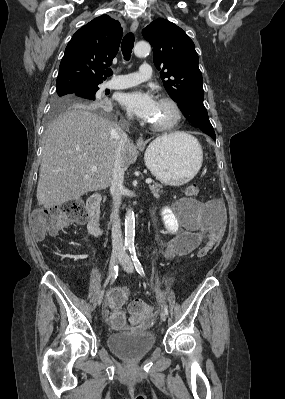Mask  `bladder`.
Wrapping results in <instances>:
<instances>
[{"instance_id": "31cf9c89", "label": "bladder", "mask_w": 285, "mask_h": 399, "mask_svg": "<svg viewBox=\"0 0 285 399\" xmlns=\"http://www.w3.org/2000/svg\"><path fill=\"white\" fill-rule=\"evenodd\" d=\"M195 201L188 198L176 201L178 210L187 209ZM108 348L118 357L125 360H135L148 355L156 345V338L151 331L114 332L107 336Z\"/></svg>"}]
</instances>
